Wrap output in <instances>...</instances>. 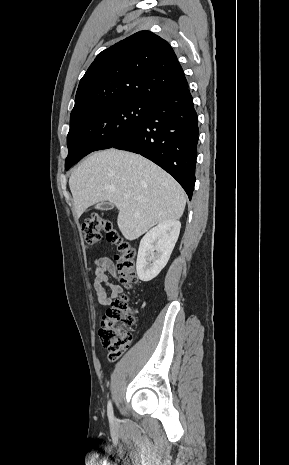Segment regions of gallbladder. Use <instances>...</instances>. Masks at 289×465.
Returning <instances> with one entry per match:
<instances>
[{"label": "gallbladder", "mask_w": 289, "mask_h": 465, "mask_svg": "<svg viewBox=\"0 0 289 465\" xmlns=\"http://www.w3.org/2000/svg\"><path fill=\"white\" fill-rule=\"evenodd\" d=\"M114 205L110 202H101V203H98L95 208L96 209H99V210H108V209H111L113 208Z\"/></svg>", "instance_id": "gallbladder-1"}]
</instances>
